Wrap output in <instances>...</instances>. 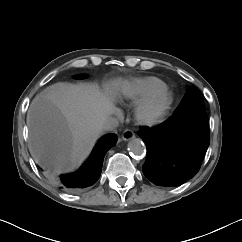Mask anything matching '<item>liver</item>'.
Segmentation results:
<instances>
[{
	"instance_id": "liver-1",
	"label": "liver",
	"mask_w": 242,
	"mask_h": 242,
	"mask_svg": "<svg viewBox=\"0 0 242 242\" xmlns=\"http://www.w3.org/2000/svg\"><path fill=\"white\" fill-rule=\"evenodd\" d=\"M110 97L94 84L56 83L32 101L27 114L34 159L56 172L81 165L112 113Z\"/></svg>"
}]
</instances>
